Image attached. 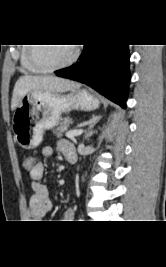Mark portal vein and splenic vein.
<instances>
[{"mask_svg":"<svg viewBox=\"0 0 166 267\" xmlns=\"http://www.w3.org/2000/svg\"><path fill=\"white\" fill-rule=\"evenodd\" d=\"M83 133V130L80 129V130H72V131H68L66 132V137L67 138H74L76 136H79Z\"/></svg>","mask_w":166,"mask_h":267,"instance_id":"1","label":"portal vein and splenic vein"}]
</instances>
